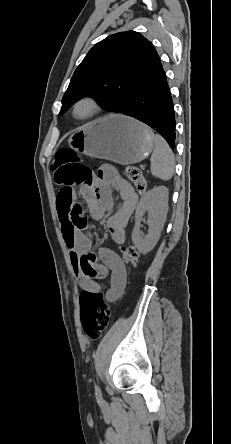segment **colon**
Masks as SVG:
<instances>
[{
    "instance_id": "colon-1",
    "label": "colon",
    "mask_w": 231,
    "mask_h": 444,
    "mask_svg": "<svg viewBox=\"0 0 231 444\" xmlns=\"http://www.w3.org/2000/svg\"><path fill=\"white\" fill-rule=\"evenodd\" d=\"M50 169L55 181L68 188L88 183L92 179V171L82 163L77 153L70 148H61L57 151ZM126 175L138 192L144 193L146 191L147 181L138 167L127 166ZM74 214L76 227L85 232L87 221L83 217L79 205L74 208ZM122 253L124 260L129 265H135L138 252L134 246L124 245ZM80 305L81 320L85 333L92 339L100 337L106 330L111 318V310L104 300L103 293L83 290L80 295Z\"/></svg>"
}]
</instances>
